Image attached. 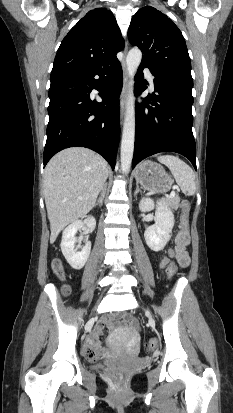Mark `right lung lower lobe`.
Here are the masks:
<instances>
[{
    "instance_id": "1",
    "label": "right lung lower lobe",
    "mask_w": 233,
    "mask_h": 413,
    "mask_svg": "<svg viewBox=\"0 0 233 413\" xmlns=\"http://www.w3.org/2000/svg\"><path fill=\"white\" fill-rule=\"evenodd\" d=\"M96 75L99 79L94 78ZM122 83V68L117 58L81 72L51 78L44 167L57 152L81 146L101 154L114 169L120 137ZM92 89L102 91V102L90 99Z\"/></svg>"
}]
</instances>
